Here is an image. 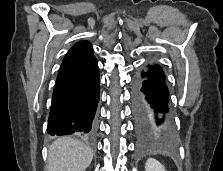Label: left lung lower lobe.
Returning <instances> with one entry per match:
<instances>
[{
	"instance_id": "0a47b994",
	"label": "left lung lower lobe",
	"mask_w": 223,
	"mask_h": 171,
	"mask_svg": "<svg viewBox=\"0 0 223 171\" xmlns=\"http://www.w3.org/2000/svg\"><path fill=\"white\" fill-rule=\"evenodd\" d=\"M135 132L142 145L169 142L175 136L165 75L157 64L147 65L133 81Z\"/></svg>"
}]
</instances>
